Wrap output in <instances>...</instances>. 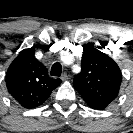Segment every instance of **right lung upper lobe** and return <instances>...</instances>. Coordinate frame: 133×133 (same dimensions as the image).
I'll return each instance as SVG.
<instances>
[{
	"instance_id": "1",
	"label": "right lung upper lobe",
	"mask_w": 133,
	"mask_h": 133,
	"mask_svg": "<svg viewBox=\"0 0 133 133\" xmlns=\"http://www.w3.org/2000/svg\"><path fill=\"white\" fill-rule=\"evenodd\" d=\"M61 82L59 78L48 76L46 67L35 58L32 48L20 52L6 73L8 92L27 109L44 103Z\"/></svg>"
}]
</instances>
